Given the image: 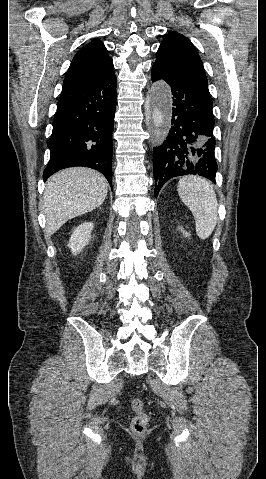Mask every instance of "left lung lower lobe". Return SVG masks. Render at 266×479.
<instances>
[{"label": "left lung lower lobe", "mask_w": 266, "mask_h": 479, "mask_svg": "<svg viewBox=\"0 0 266 479\" xmlns=\"http://www.w3.org/2000/svg\"><path fill=\"white\" fill-rule=\"evenodd\" d=\"M163 79L172 91V127L164 143L153 149L155 197L171 178L200 175L215 183L217 163L214 155V117L210 95L179 80L157 65L152 66V81Z\"/></svg>", "instance_id": "obj_1"}]
</instances>
